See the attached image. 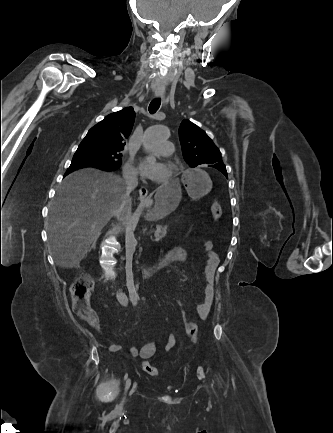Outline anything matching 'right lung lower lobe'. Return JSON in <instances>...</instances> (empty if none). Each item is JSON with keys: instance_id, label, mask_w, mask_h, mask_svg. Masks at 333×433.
Masks as SVG:
<instances>
[{"instance_id": "right-lung-lower-lobe-1", "label": "right lung lower lobe", "mask_w": 333, "mask_h": 433, "mask_svg": "<svg viewBox=\"0 0 333 433\" xmlns=\"http://www.w3.org/2000/svg\"><path fill=\"white\" fill-rule=\"evenodd\" d=\"M83 167H98L107 171H114L115 169L105 166V165H101L98 163H93V162H71L70 167L68 168L67 172L65 173L64 176H66L67 174H69L70 172L79 169V168H83Z\"/></svg>"}]
</instances>
